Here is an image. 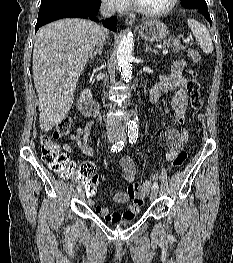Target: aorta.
Listing matches in <instances>:
<instances>
[{"mask_svg":"<svg viewBox=\"0 0 233 263\" xmlns=\"http://www.w3.org/2000/svg\"><path fill=\"white\" fill-rule=\"evenodd\" d=\"M132 61H133V37L131 34L123 35L117 48V63L121 69V76L130 80L132 78ZM128 128L131 131L137 130L135 120H130Z\"/></svg>","mask_w":233,"mask_h":263,"instance_id":"1","label":"aorta"}]
</instances>
